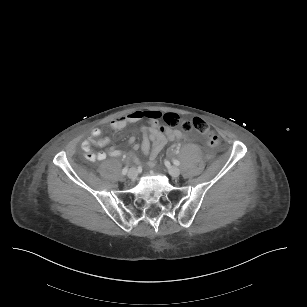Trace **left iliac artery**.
Returning <instances> with one entry per match:
<instances>
[{
    "mask_svg": "<svg viewBox=\"0 0 307 307\" xmlns=\"http://www.w3.org/2000/svg\"><path fill=\"white\" fill-rule=\"evenodd\" d=\"M173 163H174L176 166H179V165H180V161H178V160H173Z\"/></svg>",
    "mask_w": 307,
    "mask_h": 307,
    "instance_id": "44dca946",
    "label": "left iliac artery"
}]
</instances>
